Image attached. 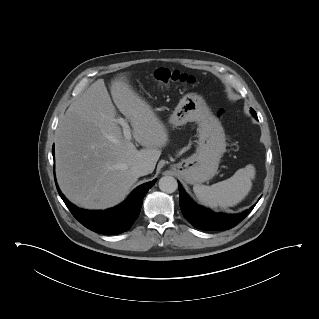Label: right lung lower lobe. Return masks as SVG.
Segmentation results:
<instances>
[{
	"label": "right lung lower lobe",
	"instance_id": "obj_1",
	"mask_svg": "<svg viewBox=\"0 0 319 319\" xmlns=\"http://www.w3.org/2000/svg\"><path fill=\"white\" fill-rule=\"evenodd\" d=\"M54 156V148L52 149ZM155 180L137 187L122 204L105 211L83 210L70 203L57 186L60 197L73 216L88 229L106 235H116L129 230L138 218L142 200Z\"/></svg>",
	"mask_w": 319,
	"mask_h": 319
}]
</instances>
